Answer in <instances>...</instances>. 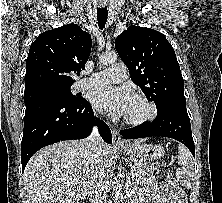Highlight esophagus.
<instances>
[{"instance_id":"esophagus-1","label":"esophagus","mask_w":222,"mask_h":203,"mask_svg":"<svg viewBox=\"0 0 222 203\" xmlns=\"http://www.w3.org/2000/svg\"><path fill=\"white\" fill-rule=\"evenodd\" d=\"M102 7H104V5H102ZM112 139H113V145L115 147H122L126 145L125 141L122 139L120 135L119 130L116 128H112Z\"/></svg>"}]
</instances>
